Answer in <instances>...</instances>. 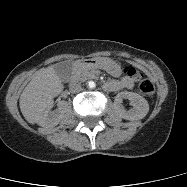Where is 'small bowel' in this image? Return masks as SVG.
<instances>
[{"instance_id": "obj_1", "label": "small bowel", "mask_w": 187, "mask_h": 187, "mask_svg": "<svg viewBox=\"0 0 187 187\" xmlns=\"http://www.w3.org/2000/svg\"><path fill=\"white\" fill-rule=\"evenodd\" d=\"M134 80L130 77H124L120 80H112L106 83L105 88L109 91H116L120 89H132Z\"/></svg>"}]
</instances>
